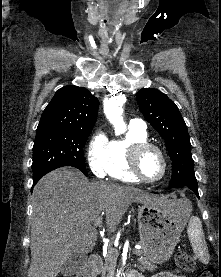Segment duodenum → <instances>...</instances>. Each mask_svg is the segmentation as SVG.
Listing matches in <instances>:
<instances>
[{"label":"duodenum","instance_id":"duodenum-1","mask_svg":"<svg viewBox=\"0 0 221 277\" xmlns=\"http://www.w3.org/2000/svg\"><path fill=\"white\" fill-rule=\"evenodd\" d=\"M103 261L100 255L93 254L90 257L89 263L78 274L77 277H96L101 271ZM130 277H138V275H132Z\"/></svg>","mask_w":221,"mask_h":277}]
</instances>
